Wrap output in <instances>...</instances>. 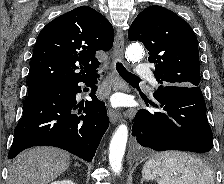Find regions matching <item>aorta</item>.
Segmentation results:
<instances>
[{
	"label": "aorta",
	"mask_w": 224,
	"mask_h": 184,
	"mask_svg": "<svg viewBox=\"0 0 224 184\" xmlns=\"http://www.w3.org/2000/svg\"><path fill=\"white\" fill-rule=\"evenodd\" d=\"M144 56V48L139 43L130 44L125 51L127 61L139 62ZM128 139V127L121 124L115 131L109 147V163L114 173H120L122 168V158L125 153Z\"/></svg>",
	"instance_id": "obj_1"
}]
</instances>
